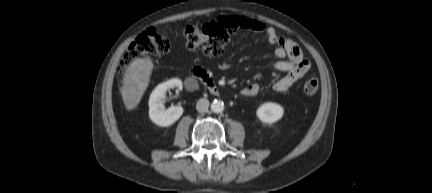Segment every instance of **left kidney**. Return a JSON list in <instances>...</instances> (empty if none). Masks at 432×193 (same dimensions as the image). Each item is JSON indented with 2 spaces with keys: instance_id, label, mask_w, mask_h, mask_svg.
Returning a JSON list of instances; mask_svg holds the SVG:
<instances>
[{
  "instance_id": "obj_1",
  "label": "left kidney",
  "mask_w": 432,
  "mask_h": 193,
  "mask_svg": "<svg viewBox=\"0 0 432 193\" xmlns=\"http://www.w3.org/2000/svg\"><path fill=\"white\" fill-rule=\"evenodd\" d=\"M284 109L277 103L267 102L256 111L257 117L264 123L272 124L282 118Z\"/></svg>"
}]
</instances>
